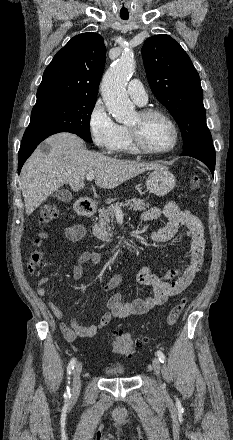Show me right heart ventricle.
Here are the masks:
<instances>
[{
	"label": "right heart ventricle",
	"instance_id": "right-heart-ventricle-1",
	"mask_svg": "<svg viewBox=\"0 0 233 440\" xmlns=\"http://www.w3.org/2000/svg\"><path fill=\"white\" fill-rule=\"evenodd\" d=\"M118 152L126 154H136L138 153L133 147L131 137L129 135L128 129L123 127V138L119 145Z\"/></svg>",
	"mask_w": 233,
	"mask_h": 440
}]
</instances>
